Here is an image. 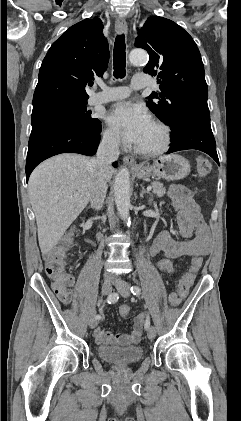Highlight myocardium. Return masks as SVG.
Wrapping results in <instances>:
<instances>
[{"label": "myocardium", "instance_id": "f54148a6", "mask_svg": "<svg viewBox=\"0 0 241 421\" xmlns=\"http://www.w3.org/2000/svg\"><path fill=\"white\" fill-rule=\"evenodd\" d=\"M152 123L156 127H158L161 131V134H162L161 143L157 147L151 148V149L140 148L136 145L134 149H135V152L138 153L139 155L146 156V157L158 156L165 153L171 145L172 133H171L170 127L163 121L157 120V119L153 120Z\"/></svg>", "mask_w": 241, "mask_h": 421}]
</instances>
